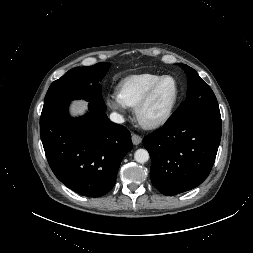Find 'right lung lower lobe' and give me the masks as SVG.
I'll return each mask as SVG.
<instances>
[{
	"instance_id": "obj_1",
	"label": "right lung lower lobe",
	"mask_w": 253,
	"mask_h": 253,
	"mask_svg": "<svg viewBox=\"0 0 253 253\" xmlns=\"http://www.w3.org/2000/svg\"><path fill=\"white\" fill-rule=\"evenodd\" d=\"M104 101L89 103V112L73 119L68 104L40 118V136L55 176L74 192L88 197L108 193L124 156L132 149L131 134L111 122Z\"/></svg>"
}]
</instances>
